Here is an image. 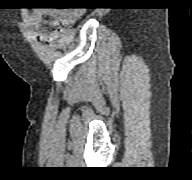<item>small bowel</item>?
<instances>
[{
    "label": "small bowel",
    "mask_w": 192,
    "mask_h": 180,
    "mask_svg": "<svg viewBox=\"0 0 192 180\" xmlns=\"http://www.w3.org/2000/svg\"><path fill=\"white\" fill-rule=\"evenodd\" d=\"M47 18H51L52 24H58L63 27H69L76 22L77 15L73 13H68L64 10L38 9L31 14L30 22L35 26H39Z\"/></svg>",
    "instance_id": "c3829d8e"
}]
</instances>
